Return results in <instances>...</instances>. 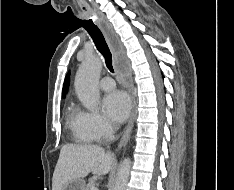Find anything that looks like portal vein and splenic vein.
I'll return each instance as SVG.
<instances>
[{"label": "portal vein and splenic vein", "instance_id": "1", "mask_svg": "<svg viewBox=\"0 0 234 190\" xmlns=\"http://www.w3.org/2000/svg\"><path fill=\"white\" fill-rule=\"evenodd\" d=\"M91 190H98V188H96L95 186L94 187H92V189Z\"/></svg>", "mask_w": 234, "mask_h": 190}]
</instances>
